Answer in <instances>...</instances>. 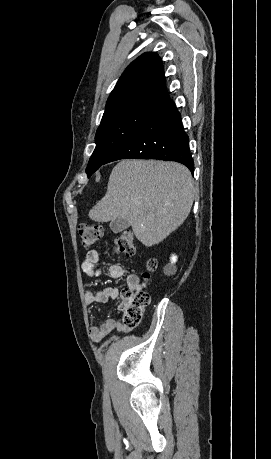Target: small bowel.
I'll list each match as a JSON object with an SVG mask.
<instances>
[{
    "mask_svg": "<svg viewBox=\"0 0 271 459\" xmlns=\"http://www.w3.org/2000/svg\"><path fill=\"white\" fill-rule=\"evenodd\" d=\"M101 256L102 253L97 250H91L85 255L82 261V269L88 276L97 277L101 274L96 268ZM105 274L112 279H119L126 276L127 286L131 290H140L144 286L136 273L129 272L120 265L109 266ZM84 297L87 304L107 303L119 297V290L115 287H105L98 291L88 290L85 292ZM113 330L128 333L131 329L120 320L108 319L100 326L91 328L90 336L93 341L99 342Z\"/></svg>",
    "mask_w": 271,
    "mask_h": 459,
    "instance_id": "obj_1",
    "label": "small bowel"
}]
</instances>
